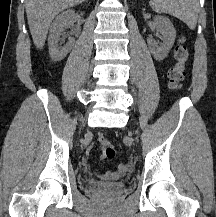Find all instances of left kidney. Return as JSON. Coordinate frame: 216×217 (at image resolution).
<instances>
[{"instance_id":"left-kidney-1","label":"left kidney","mask_w":216,"mask_h":217,"mask_svg":"<svg viewBox=\"0 0 216 217\" xmlns=\"http://www.w3.org/2000/svg\"><path fill=\"white\" fill-rule=\"evenodd\" d=\"M154 23L157 32L161 33L163 37V43L159 46L154 43L152 38H148L147 44L154 59L161 61L167 56L172 48L176 38V31L167 17L157 15L154 17Z\"/></svg>"}]
</instances>
